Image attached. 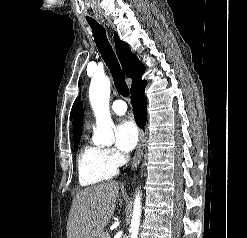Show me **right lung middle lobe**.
Listing matches in <instances>:
<instances>
[{
	"label": "right lung middle lobe",
	"instance_id": "1",
	"mask_svg": "<svg viewBox=\"0 0 247 238\" xmlns=\"http://www.w3.org/2000/svg\"><path fill=\"white\" fill-rule=\"evenodd\" d=\"M74 144H75V147H77V146H78V144H79V141L75 142Z\"/></svg>",
	"mask_w": 247,
	"mask_h": 238
}]
</instances>
